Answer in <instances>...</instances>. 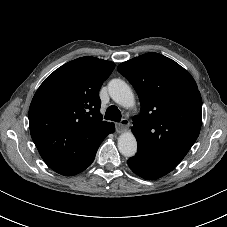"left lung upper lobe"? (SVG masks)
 Here are the masks:
<instances>
[{
	"label": "left lung upper lobe",
	"instance_id": "1",
	"mask_svg": "<svg viewBox=\"0 0 227 227\" xmlns=\"http://www.w3.org/2000/svg\"><path fill=\"white\" fill-rule=\"evenodd\" d=\"M136 89L141 112L133 117L137 154L178 165L196 141L202 124V99L190 73L158 53H147L117 67Z\"/></svg>",
	"mask_w": 227,
	"mask_h": 227
}]
</instances>
